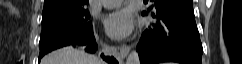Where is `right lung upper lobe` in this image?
Listing matches in <instances>:
<instances>
[{
  "instance_id": "obj_1",
  "label": "right lung upper lobe",
  "mask_w": 242,
  "mask_h": 64,
  "mask_svg": "<svg viewBox=\"0 0 242 64\" xmlns=\"http://www.w3.org/2000/svg\"><path fill=\"white\" fill-rule=\"evenodd\" d=\"M88 0H45L43 14L60 10L86 8Z\"/></svg>"
}]
</instances>
